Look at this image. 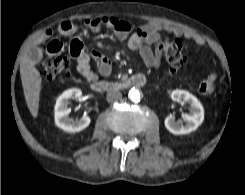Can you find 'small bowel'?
<instances>
[{"label":"small bowel","mask_w":245,"mask_h":195,"mask_svg":"<svg viewBox=\"0 0 245 195\" xmlns=\"http://www.w3.org/2000/svg\"><path fill=\"white\" fill-rule=\"evenodd\" d=\"M86 26L91 30H99L105 27L111 30L117 37L125 38L129 49L138 51L144 64L149 68H157L161 64L162 50L159 48L162 42L160 31H168L176 36L184 37L193 41L200 47L206 45L205 38L189 29H183L176 26H164L156 22H148L140 27L132 23L116 17H104L86 20ZM59 32L63 35H72L77 32V26L72 21H64L60 23ZM52 31L45 30L36 42L32 45L29 52V59L37 62L43 55L44 43H47L46 51L51 55H57L63 50V44L58 40H51ZM153 46V47H152ZM69 51L76 59L77 71L88 81H93L96 74L91 68V63L95 62L98 71L102 76H108L111 73L112 66L110 61L100 53L93 52L89 54L85 51L83 43L80 39L75 38L69 44ZM217 75L210 74L207 79L200 83L198 90L202 94H210L216 83Z\"/></svg>","instance_id":"small-bowel-1"}]
</instances>
